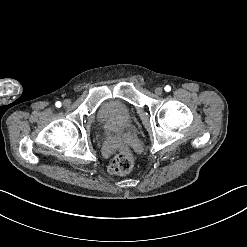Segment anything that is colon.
Instances as JSON below:
<instances>
[{
	"label": "colon",
	"instance_id": "colon-1",
	"mask_svg": "<svg viewBox=\"0 0 247 247\" xmlns=\"http://www.w3.org/2000/svg\"><path fill=\"white\" fill-rule=\"evenodd\" d=\"M135 165V158L128 151L124 150L115 156L109 165V172L116 175L128 173Z\"/></svg>",
	"mask_w": 247,
	"mask_h": 247
}]
</instances>
